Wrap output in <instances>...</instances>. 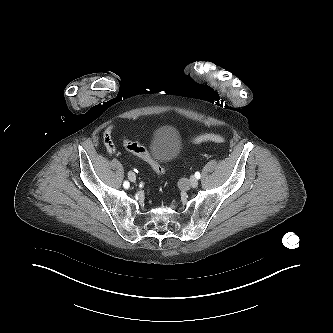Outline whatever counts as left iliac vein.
I'll return each mask as SVG.
<instances>
[{
	"mask_svg": "<svg viewBox=\"0 0 333 333\" xmlns=\"http://www.w3.org/2000/svg\"><path fill=\"white\" fill-rule=\"evenodd\" d=\"M189 186L192 188H196L198 186V180L194 176L190 177Z\"/></svg>",
	"mask_w": 333,
	"mask_h": 333,
	"instance_id": "obj_1",
	"label": "left iliac vein"
}]
</instances>
